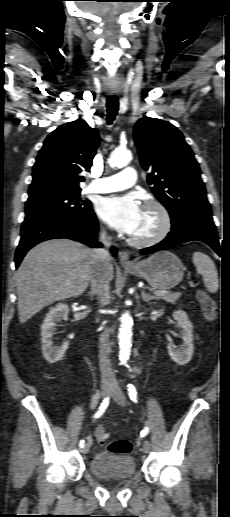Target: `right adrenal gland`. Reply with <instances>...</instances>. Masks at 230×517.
<instances>
[{
	"mask_svg": "<svg viewBox=\"0 0 230 517\" xmlns=\"http://www.w3.org/2000/svg\"><path fill=\"white\" fill-rule=\"evenodd\" d=\"M88 295H89V296L91 297V299H92V297H93V293H92V292H89V294H88Z\"/></svg>",
	"mask_w": 230,
	"mask_h": 517,
	"instance_id": "2a0ac1e0",
	"label": "right adrenal gland"
}]
</instances>
